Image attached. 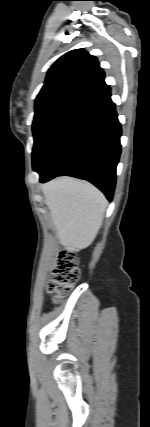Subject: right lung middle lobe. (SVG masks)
Returning <instances> with one entry per match:
<instances>
[{
    "mask_svg": "<svg viewBox=\"0 0 150 427\" xmlns=\"http://www.w3.org/2000/svg\"><path fill=\"white\" fill-rule=\"evenodd\" d=\"M79 111L78 108L67 106H54L35 111L32 152L35 171L42 164L57 137Z\"/></svg>",
    "mask_w": 150,
    "mask_h": 427,
    "instance_id": "obj_1",
    "label": "right lung middle lobe"
}]
</instances>
